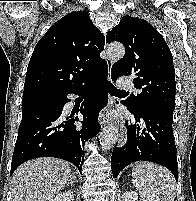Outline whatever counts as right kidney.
I'll list each match as a JSON object with an SVG mask.
<instances>
[{
  "label": "right kidney",
  "instance_id": "1",
  "mask_svg": "<svg viewBox=\"0 0 196 201\" xmlns=\"http://www.w3.org/2000/svg\"><path fill=\"white\" fill-rule=\"evenodd\" d=\"M49 201H74L73 192H71L70 190L65 191L63 193L58 194Z\"/></svg>",
  "mask_w": 196,
  "mask_h": 201
}]
</instances>
